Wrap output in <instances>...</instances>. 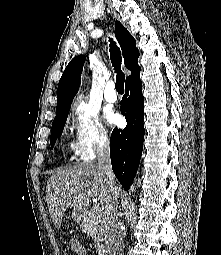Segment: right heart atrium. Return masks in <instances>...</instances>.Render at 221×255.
Wrapping results in <instances>:
<instances>
[{"instance_id":"obj_1","label":"right heart atrium","mask_w":221,"mask_h":255,"mask_svg":"<svg viewBox=\"0 0 221 255\" xmlns=\"http://www.w3.org/2000/svg\"><path fill=\"white\" fill-rule=\"evenodd\" d=\"M71 126L77 150L82 158H90L105 146L109 137L97 113L84 103L76 104L71 112Z\"/></svg>"}]
</instances>
